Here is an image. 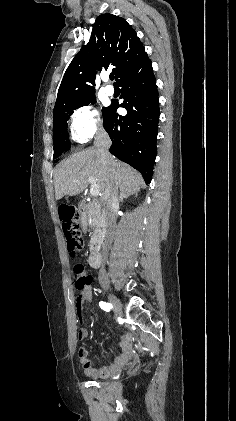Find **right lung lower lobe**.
I'll use <instances>...</instances> for the list:
<instances>
[{
    "label": "right lung lower lobe",
    "mask_w": 236,
    "mask_h": 421,
    "mask_svg": "<svg viewBox=\"0 0 236 421\" xmlns=\"http://www.w3.org/2000/svg\"><path fill=\"white\" fill-rule=\"evenodd\" d=\"M116 80L124 100L120 105L113 101L103 114L104 127L112 140L110 152L137 169L150 183L156 157L159 100L148 56L125 68ZM118 107L125 108L127 115L119 116Z\"/></svg>",
    "instance_id": "right-lung-lower-lobe-1"
}]
</instances>
